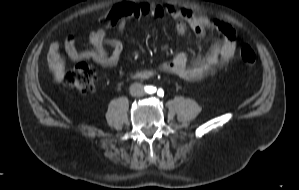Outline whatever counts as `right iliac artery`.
I'll use <instances>...</instances> for the list:
<instances>
[{"instance_id": "82829eb1", "label": "right iliac artery", "mask_w": 299, "mask_h": 190, "mask_svg": "<svg viewBox=\"0 0 299 190\" xmlns=\"http://www.w3.org/2000/svg\"><path fill=\"white\" fill-rule=\"evenodd\" d=\"M145 89L150 94L156 92V87H154V86H146Z\"/></svg>"}]
</instances>
